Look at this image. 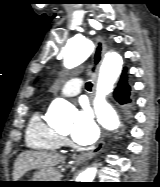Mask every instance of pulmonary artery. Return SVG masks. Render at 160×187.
Instances as JSON below:
<instances>
[{"mask_svg":"<svg viewBox=\"0 0 160 187\" xmlns=\"http://www.w3.org/2000/svg\"><path fill=\"white\" fill-rule=\"evenodd\" d=\"M82 80L79 77H74L66 81L60 88V94L65 97H74L80 94Z\"/></svg>","mask_w":160,"mask_h":187,"instance_id":"e3ab8cb5","label":"pulmonary artery"}]
</instances>
